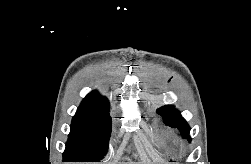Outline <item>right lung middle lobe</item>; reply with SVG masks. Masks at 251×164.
<instances>
[{"mask_svg":"<svg viewBox=\"0 0 251 164\" xmlns=\"http://www.w3.org/2000/svg\"><path fill=\"white\" fill-rule=\"evenodd\" d=\"M110 133L109 108L81 105L72 120L63 160L99 162L107 153Z\"/></svg>","mask_w":251,"mask_h":164,"instance_id":"right-lung-middle-lobe-1","label":"right lung middle lobe"}]
</instances>
